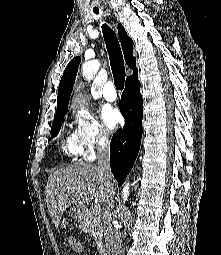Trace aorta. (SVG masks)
<instances>
[{
  "mask_svg": "<svg viewBox=\"0 0 221 255\" xmlns=\"http://www.w3.org/2000/svg\"><path fill=\"white\" fill-rule=\"evenodd\" d=\"M95 71H96V68L91 69L89 72L86 73V77L88 79L92 78ZM129 189H130V183L127 181L123 186V194H124L125 199H127L128 195H129V192H130Z\"/></svg>",
  "mask_w": 221,
  "mask_h": 255,
  "instance_id": "1",
  "label": "aorta"
}]
</instances>
